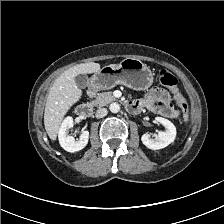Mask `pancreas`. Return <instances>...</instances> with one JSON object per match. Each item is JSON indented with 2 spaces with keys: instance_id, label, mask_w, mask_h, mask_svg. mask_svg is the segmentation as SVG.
<instances>
[{
  "instance_id": "pancreas-1",
  "label": "pancreas",
  "mask_w": 224,
  "mask_h": 224,
  "mask_svg": "<svg viewBox=\"0 0 224 224\" xmlns=\"http://www.w3.org/2000/svg\"><path fill=\"white\" fill-rule=\"evenodd\" d=\"M114 100H116V98L112 95V92H101L95 96V99L92 101V104L94 106L102 107L106 106Z\"/></svg>"
}]
</instances>
